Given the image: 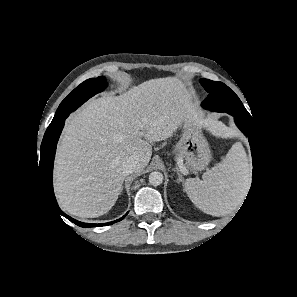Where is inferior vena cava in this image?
<instances>
[{
	"mask_svg": "<svg viewBox=\"0 0 297 297\" xmlns=\"http://www.w3.org/2000/svg\"><path fill=\"white\" fill-rule=\"evenodd\" d=\"M138 160L135 157H129L122 164V171L125 175L133 173L137 168Z\"/></svg>",
	"mask_w": 297,
	"mask_h": 297,
	"instance_id": "obj_1",
	"label": "inferior vena cava"
}]
</instances>
